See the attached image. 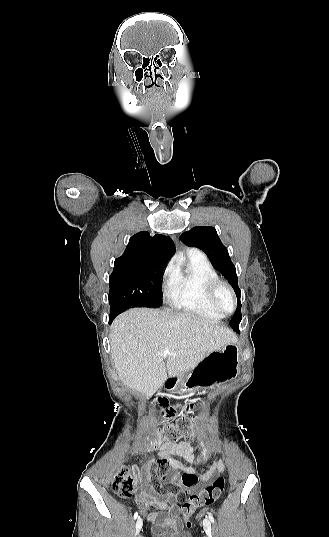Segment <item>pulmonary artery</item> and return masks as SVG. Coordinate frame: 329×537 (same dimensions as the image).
Returning a JSON list of instances; mask_svg holds the SVG:
<instances>
[{"label":"pulmonary artery","instance_id":"pulmonary-artery-1","mask_svg":"<svg viewBox=\"0 0 329 537\" xmlns=\"http://www.w3.org/2000/svg\"><path fill=\"white\" fill-rule=\"evenodd\" d=\"M191 253L192 254H202L198 249H192Z\"/></svg>","mask_w":329,"mask_h":537}]
</instances>
